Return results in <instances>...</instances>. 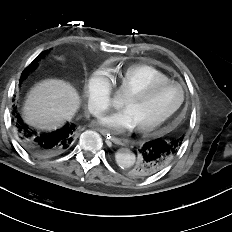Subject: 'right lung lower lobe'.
Returning <instances> with one entry per match:
<instances>
[{
    "mask_svg": "<svg viewBox=\"0 0 232 232\" xmlns=\"http://www.w3.org/2000/svg\"><path fill=\"white\" fill-rule=\"evenodd\" d=\"M16 111L13 112L15 114ZM15 130L22 147L31 155L48 159L68 151L74 140L75 125L67 123L52 132H39L28 127L21 117L16 115Z\"/></svg>",
    "mask_w": 232,
    "mask_h": 232,
    "instance_id": "right-lung-lower-lobe-1",
    "label": "right lung lower lobe"
}]
</instances>
